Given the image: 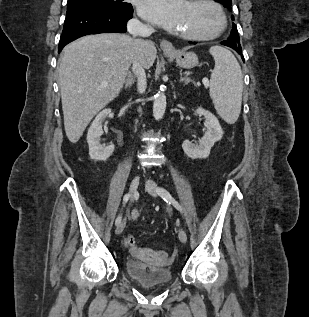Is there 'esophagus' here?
I'll return each mask as SVG.
<instances>
[{"label": "esophagus", "instance_id": "1", "mask_svg": "<svg viewBox=\"0 0 309 317\" xmlns=\"http://www.w3.org/2000/svg\"><path fill=\"white\" fill-rule=\"evenodd\" d=\"M160 47L165 53H172L174 51L172 43L168 40H162L160 43Z\"/></svg>", "mask_w": 309, "mask_h": 317}]
</instances>
